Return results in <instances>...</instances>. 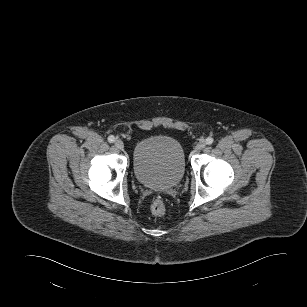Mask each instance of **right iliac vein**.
<instances>
[{
    "label": "right iliac vein",
    "mask_w": 307,
    "mask_h": 307,
    "mask_svg": "<svg viewBox=\"0 0 307 307\" xmlns=\"http://www.w3.org/2000/svg\"><path fill=\"white\" fill-rule=\"evenodd\" d=\"M115 147L119 150H123L124 148V143L122 140L118 139L115 141Z\"/></svg>",
    "instance_id": "right-iliac-vein-1"
}]
</instances>
